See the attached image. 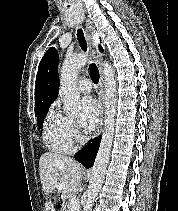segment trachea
Returning a JSON list of instances; mask_svg holds the SVG:
<instances>
[{"label": "trachea", "instance_id": "obj_1", "mask_svg": "<svg viewBox=\"0 0 178 211\" xmlns=\"http://www.w3.org/2000/svg\"><path fill=\"white\" fill-rule=\"evenodd\" d=\"M77 38H78L79 44H80L81 48L83 49V51H86L87 43H86L82 29L77 30ZM89 71H90V75H91V79H92L93 83L97 84L99 81V70H98L97 66L94 63H92L89 67Z\"/></svg>", "mask_w": 178, "mask_h": 211}]
</instances>
